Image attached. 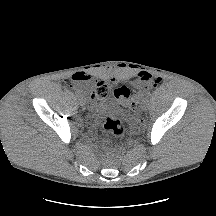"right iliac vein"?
Listing matches in <instances>:
<instances>
[{"instance_id":"63e3f726","label":"right iliac vein","mask_w":216,"mask_h":216,"mask_svg":"<svg viewBox=\"0 0 216 216\" xmlns=\"http://www.w3.org/2000/svg\"><path fill=\"white\" fill-rule=\"evenodd\" d=\"M79 102H80V104H81V105H83V104L85 103V100H84V98H83V97H81V98L79 99Z\"/></svg>"}]
</instances>
